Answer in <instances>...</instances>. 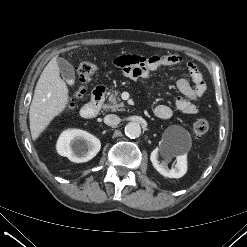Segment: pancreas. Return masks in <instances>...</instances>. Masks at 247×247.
Wrapping results in <instances>:
<instances>
[{
    "label": "pancreas",
    "instance_id": "obj_1",
    "mask_svg": "<svg viewBox=\"0 0 247 247\" xmlns=\"http://www.w3.org/2000/svg\"><path fill=\"white\" fill-rule=\"evenodd\" d=\"M108 97V102L103 105V109L105 111H124V103L121 102V99L119 97V92L117 90H114L110 92Z\"/></svg>",
    "mask_w": 247,
    "mask_h": 247
}]
</instances>
